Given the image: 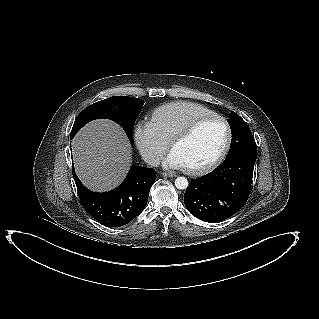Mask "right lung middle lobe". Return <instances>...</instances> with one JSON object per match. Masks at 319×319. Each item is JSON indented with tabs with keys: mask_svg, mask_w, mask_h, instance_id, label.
<instances>
[{
	"mask_svg": "<svg viewBox=\"0 0 319 319\" xmlns=\"http://www.w3.org/2000/svg\"><path fill=\"white\" fill-rule=\"evenodd\" d=\"M143 104L144 101L142 99L127 96H115L96 102L85 108L77 116L71 130L70 139L89 121L98 118H108L117 122L125 130L131 143H133L134 124Z\"/></svg>",
	"mask_w": 319,
	"mask_h": 319,
	"instance_id": "right-lung-middle-lobe-1",
	"label": "right lung middle lobe"
}]
</instances>
